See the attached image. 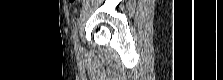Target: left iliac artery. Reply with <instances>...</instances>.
<instances>
[{
	"mask_svg": "<svg viewBox=\"0 0 223 80\" xmlns=\"http://www.w3.org/2000/svg\"><path fill=\"white\" fill-rule=\"evenodd\" d=\"M73 42L75 45V48H79V41H78V35H77V25L75 23L74 28H73Z\"/></svg>",
	"mask_w": 223,
	"mask_h": 80,
	"instance_id": "obj_1",
	"label": "left iliac artery"
}]
</instances>
